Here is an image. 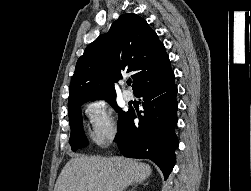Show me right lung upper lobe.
<instances>
[{
    "label": "right lung upper lobe",
    "instance_id": "obj_1",
    "mask_svg": "<svg viewBox=\"0 0 251 191\" xmlns=\"http://www.w3.org/2000/svg\"><path fill=\"white\" fill-rule=\"evenodd\" d=\"M123 72L132 74L134 93L173 72L157 34L143 18L132 13L120 16L109 32L89 44L78 59L68 108L89 100L115 99L113 82L121 79Z\"/></svg>",
    "mask_w": 251,
    "mask_h": 191
}]
</instances>
